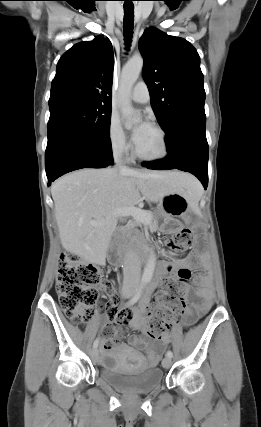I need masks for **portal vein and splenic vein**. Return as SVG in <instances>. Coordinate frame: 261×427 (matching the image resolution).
Wrapping results in <instances>:
<instances>
[{
  "label": "portal vein and splenic vein",
  "mask_w": 261,
  "mask_h": 427,
  "mask_svg": "<svg viewBox=\"0 0 261 427\" xmlns=\"http://www.w3.org/2000/svg\"><path fill=\"white\" fill-rule=\"evenodd\" d=\"M114 215L117 217L132 216L134 219H136L139 222H148L150 218L147 211L142 210L140 208H136V207L118 208L114 212ZM91 224L93 226H97V225H100L101 223H98L96 221H91Z\"/></svg>",
  "instance_id": "portal-vein-and-splenic-vein-1"
}]
</instances>
